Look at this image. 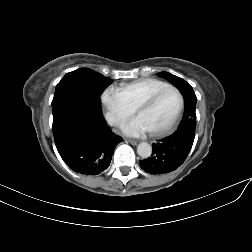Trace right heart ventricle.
<instances>
[{"instance_id": "obj_1", "label": "right heart ventricle", "mask_w": 252, "mask_h": 252, "mask_svg": "<svg viewBox=\"0 0 252 252\" xmlns=\"http://www.w3.org/2000/svg\"><path fill=\"white\" fill-rule=\"evenodd\" d=\"M168 86L166 82L148 78L124 84L119 88V91L135 109L147 97Z\"/></svg>"}]
</instances>
